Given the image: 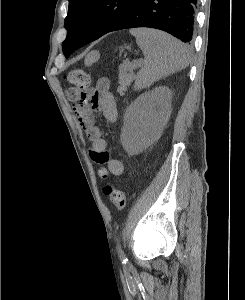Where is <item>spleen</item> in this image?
I'll use <instances>...</instances> for the list:
<instances>
[{"mask_svg":"<svg viewBox=\"0 0 245 300\" xmlns=\"http://www.w3.org/2000/svg\"><path fill=\"white\" fill-rule=\"evenodd\" d=\"M130 33L136 38L145 60L135 82V89L149 87L155 81L189 65L185 45L165 32L139 28Z\"/></svg>","mask_w":245,"mask_h":300,"instance_id":"3e777b00","label":"spleen"}]
</instances>
